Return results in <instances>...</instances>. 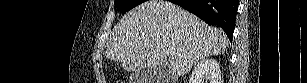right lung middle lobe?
Instances as JSON below:
<instances>
[{
  "mask_svg": "<svg viewBox=\"0 0 307 83\" xmlns=\"http://www.w3.org/2000/svg\"><path fill=\"white\" fill-rule=\"evenodd\" d=\"M144 1L145 0H115L114 4L117 9L124 14Z\"/></svg>",
  "mask_w": 307,
  "mask_h": 83,
  "instance_id": "obj_1",
  "label": "right lung middle lobe"
}]
</instances>
